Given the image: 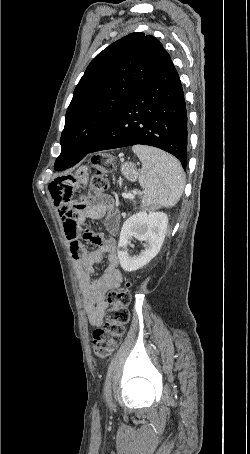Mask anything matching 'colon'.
Returning <instances> with one entry per match:
<instances>
[{
    "mask_svg": "<svg viewBox=\"0 0 250 454\" xmlns=\"http://www.w3.org/2000/svg\"><path fill=\"white\" fill-rule=\"evenodd\" d=\"M92 177L90 180L89 196L100 197L108 188L105 174L112 168V156L106 153L93 155ZM131 281H126L119 289L112 290L107 295L110 308L105 324L93 332V351L98 359L108 358L119 346L125 325L129 321L128 305L130 303Z\"/></svg>",
    "mask_w": 250,
    "mask_h": 454,
    "instance_id": "1",
    "label": "colon"
}]
</instances>
